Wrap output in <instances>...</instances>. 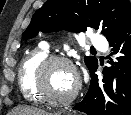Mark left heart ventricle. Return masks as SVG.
<instances>
[{
  "label": "left heart ventricle",
  "instance_id": "left-heart-ventricle-1",
  "mask_svg": "<svg viewBox=\"0 0 131 115\" xmlns=\"http://www.w3.org/2000/svg\"><path fill=\"white\" fill-rule=\"evenodd\" d=\"M74 84V74L67 65L55 64L49 68L46 75V88L53 97H67L72 92Z\"/></svg>",
  "mask_w": 131,
  "mask_h": 115
}]
</instances>
